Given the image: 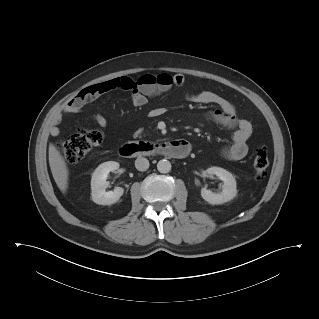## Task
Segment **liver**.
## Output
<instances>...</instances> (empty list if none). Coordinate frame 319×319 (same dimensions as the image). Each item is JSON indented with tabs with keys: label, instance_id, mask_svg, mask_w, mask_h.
I'll return each mask as SVG.
<instances>
[{
	"label": "liver",
	"instance_id": "obj_1",
	"mask_svg": "<svg viewBox=\"0 0 319 319\" xmlns=\"http://www.w3.org/2000/svg\"><path fill=\"white\" fill-rule=\"evenodd\" d=\"M49 165L58 188L65 193L68 189V167L61 153L52 143L49 145Z\"/></svg>",
	"mask_w": 319,
	"mask_h": 319
}]
</instances>
